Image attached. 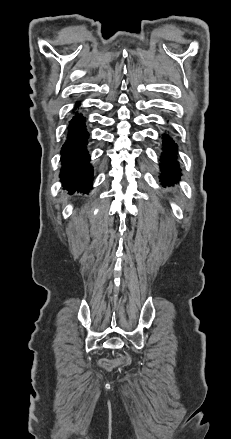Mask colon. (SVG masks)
I'll return each mask as SVG.
<instances>
[{"label":"colon","mask_w":231,"mask_h":439,"mask_svg":"<svg viewBox=\"0 0 231 439\" xmlns=\"http://www.w3.org/2000/svg\"><path fill=\"white\" fill-rule=\"evenodd\" d=\"M131 362L130 356L126 355L119 359H108L102 361V366L107 370H112L117 367L129 365Z\"/></svg>","instance_id":"1"}]
</instances>
